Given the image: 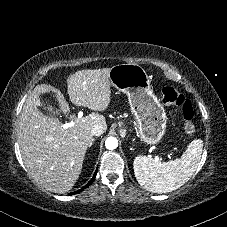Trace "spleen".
<instances>
[{"instance_id": "3e777b00", "label": "spleen", "mask_w": 227, "mask_h": 227, "mask_svg": "<svg viewBox=\"0 0 227 227\" xmlns=\"http://www.w3.org/2000/svg\"><path fill=\"white\" fill-rule=\"evenodd\" d=\"M203 150L201 139L193 140L181 158L159 162L147 156L135 157L133 168L138 183L153 193L172 192L183 186L195 173Z\"/></svg>"}]
</instances>
